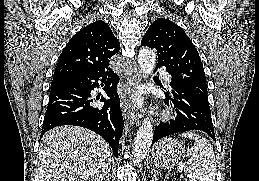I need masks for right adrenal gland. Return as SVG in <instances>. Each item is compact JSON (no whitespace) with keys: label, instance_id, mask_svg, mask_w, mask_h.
Segmentation results:
<instances>
[{"label":"right adrenal gland","instance_id":"right-adrenal-gland-1","mask_svg":"<svg viewBox=\"0 0 259 181\" xmlns=\"http://www.w3.org/2000/svg\"><path fill=\"white\" fill-rule=\"evenodd\" d=\"M110 181V173L108 172L106 176L102 179V181Z\"/></svg>","mask_w":259,"mask_h":181}]
</instances>
